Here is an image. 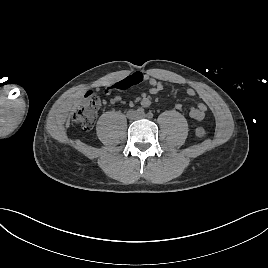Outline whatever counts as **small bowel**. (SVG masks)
<instances>
[{
    "label": "small bowel",
    "instance_id": "c3829d8e",
    "mask_svg": "<svg viewBox=\"0 0 268 268\" xmlns=\"http://www.w3.org/2000/svg\"><path fill=\"white\" fill-rule=\"evenodd\" d=\"M127 78L133 80L135 85L142 83V82L147 83L149 86L148 92L152 95L159 93L160 91L163 90V87H164L163 82L160 79L153 77L151 75H148V74H142L141 72H135V73L123 78L122 80H125ZM122 80L118 81L117 83L121 82ZM186 93L188 96L193 97L196 95V90L194 88L189 87V88H187ZM120 101H121V98L119 96H115L111 99L112 103H117ZM140 104L143 107H149L151 105L150 97L143 96L140 100ZM175 109L181 110L182 105L176 104ZM206 110H207L206 104L203 102H200L197 104V106L191 108L189 115H190L192 120H194L196 122H201L205 118Z\"/></svg>",
    "mask_w": 268,
    "mask_h": 268
}]
</instances>
